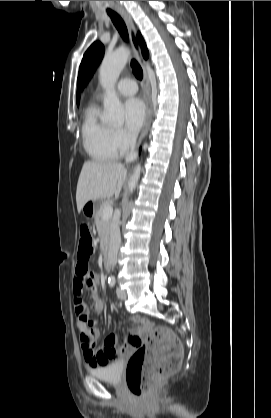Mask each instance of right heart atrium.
<instances>
[{
	"instance_id": "obj_1",
	"label": "right heart atrium",
	"mask_w": 271,
	"mask_h": 418,
	"mask_svg": "<svg viewBox=\"0 0 271 418\" xmlns=\"http://www.w3.org/2000/svg\"><path fill=\"white\" fill-rule=\"evenodd\" d=\"M135 138L122 128L113 129V142L118 152H126L134 145Z\"/></svg>"
}]
</instances>
